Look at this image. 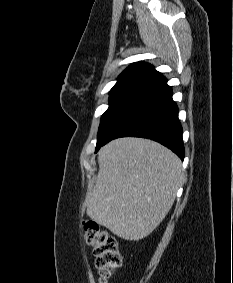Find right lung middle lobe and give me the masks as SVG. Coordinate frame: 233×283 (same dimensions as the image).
Wrapping results in <instances>:
<instances>
[{"label":"right lung middle lobe","mask_w":233,"mask_h":283,"mask_svg":"<svg viewBox=\"0 0 233 283\" xmlns=\"http://www.w3.org/2000/svg\"><path fill=\"white\" fill-rule=\"evenodd\" d=\"M151 84L148 81H132L114 86L109 93V108L102 115L98 130L96 151L121 117L139 95Z\"/></svg>","instance_id":"obj_1"}]
</instances>
